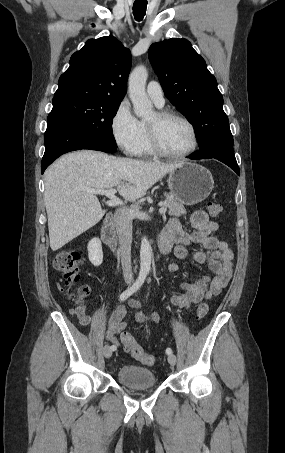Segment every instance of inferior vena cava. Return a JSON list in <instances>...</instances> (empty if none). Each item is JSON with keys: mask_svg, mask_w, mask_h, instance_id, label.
<instances>
[{"mask_svg": "<svg viewBox=\"0 0 285 453\" xmlns=\"http://www.w3.org/2000/svg\"><path fill=\"white\" fill-rule=\"evenodd\" d=\"M114 219L120 244L123 276L124 280L130 283L134 280L131 266L133 217L127 208H119L115 212Z\"/></svg>", "mask_w": 285, "mask_h": 453, "instance_id": "602c4592", "label": "inferior vena cava"}]
</instances>
